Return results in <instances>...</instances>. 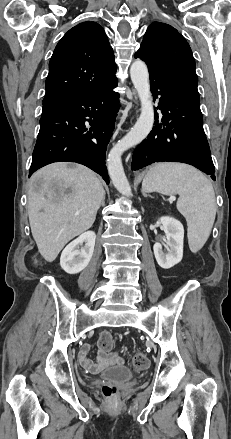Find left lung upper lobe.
Returning a JSON list of instances; mask_svg holds the SVG:
<instances>
[{
	"label": "left lung upper lobe",
	"mask_w": 231,
	"mask_h": 439,
	"mask_svg": "<svg viewBox=\"0 0 231 439\" xmlns=\"http://www.w3.org/2000/svg\"><path fill=\"white\" fill-rule=\"evenodd\" d=\"M148 69L200 106L195 60L185 38L172 26L153 22L135 54Z\"/></svg>",
	"instance_id": "obj_1"
}]
</instances>
